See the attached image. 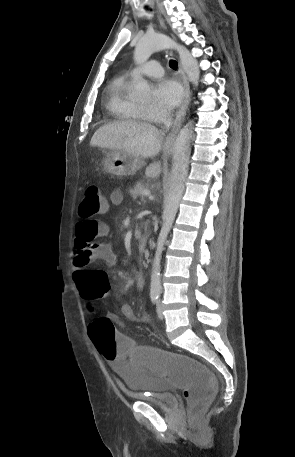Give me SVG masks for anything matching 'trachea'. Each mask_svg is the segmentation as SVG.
<instances>
[{"instance_id": "trachea-1", "label": "trachea", "mask_w": 295, "mask_h": 457, "mask_svg": "<svg viewBox=\"0 0 295 457\" xmlns=\"http://www.w3.org/2000/svg\"><path fill=\"white\" fill-rule=\"evenodd\" d=\"M169 65L172 69H177V62L175 60H170Z\"/></svg>"}]
</instances>
